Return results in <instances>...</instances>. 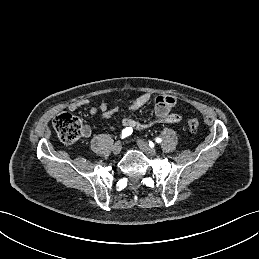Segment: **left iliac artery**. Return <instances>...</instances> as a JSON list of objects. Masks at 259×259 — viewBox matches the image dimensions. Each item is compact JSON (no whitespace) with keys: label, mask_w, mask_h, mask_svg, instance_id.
<instances>
[{"label":"left iliac artery","mask_w":259,"mask_h":259,"mask_svg":"<svg viewBox=\"0 0 259 259\" xmlns=\"http://www.w3.org/2000/svg\"><path fill=\"white\" fill-rule=\"evenodd\" d=\"M161 141H162L161 138H159V137L156 138V142L157 143H161ZM149 145H150V147H153V143L152 142H149Z\"/></svg>","instance_id":"obj_1"}]
</instances>
